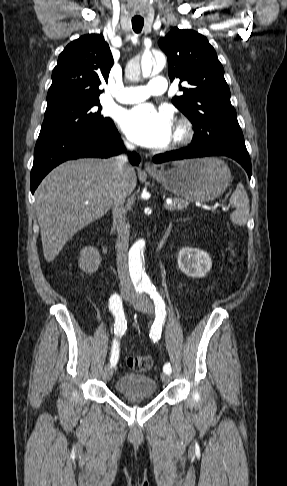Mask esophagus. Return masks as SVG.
Listing matches in <instances>:
<instances>
[{
  "label": "esophagus",
  "instance_id": "1",
  "mask_svg": "<svg viewBox=\"0 0 287 486\" xmlns=\"http://www.w3.org/2000/svg\"><path fill=\"white\" fill-rule=\"evenodd\" d=\"M144 168H145V170H146V171H148V172H151V171H156V167H155V166H153V165H152L151 163H149V162H146V163L144 164Z\"/></svg>",
  "mask_w": 287,
  "mask_h": 486
}]
</instances>
